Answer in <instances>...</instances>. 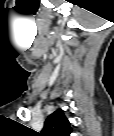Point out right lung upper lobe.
Instances as JSON below:
<instances>
[{"instance_id":"cb5924a9","label":"right lung upper lobe","mask_w":114,"mask_h":136,"mask_svg":"<svg viewBox=\"0 0 114 136\" xmlns=\"http://www.w3.org/2000/svg\"><path fill=\"white\" fill-rule=\"evenodd\" d=\"M71 127L61 109L55 110L48 116L41 132L42 136H70Z\"/></svg>"}]
</instances>
